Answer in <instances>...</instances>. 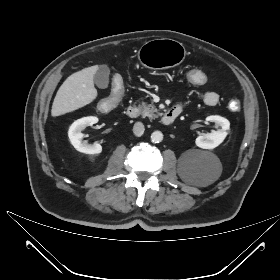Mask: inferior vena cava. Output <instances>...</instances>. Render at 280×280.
<instances>
[{
	"mask_svg": "<svg viewBox=\"0 0 280 280\" xmlns=\"http://www.w3.org/2000/svg\"><path fill=\"white\" fill-rule=\"evenodd\" d=\"M144 125L141 122H136L133 126V133L135 136H142L144 133Z\"/></svg>",
	"mask_w": 280,
	"mask_h": 280,
	"instance_id": "inferior-vena-cava-1",
	"label": "inferior vena cava"
}]
</instances>
